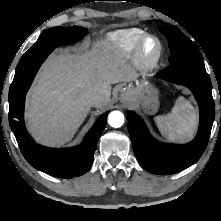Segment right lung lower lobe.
<instances>
[{"mask_svg":"<svg viewBox=\"0 0 221 221\" xmlns=\"http://www.w3.org/2000/svg\"><path fill=\"white\" fill-rule=\"evenodd\" d=\"M25 94L9 102V123L27 162L46 174L60 178H72L86 173L92 165L107 113L95 122L80 145L63 149L47 148L36 144L25 128Z\"/></svg>","mask_w":221,"mask_h":221,"instance_id":"98d812e1","label":"right lung lower lobe"}]
</instances>
